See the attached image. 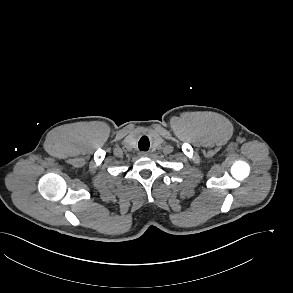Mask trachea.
<instances>
[{
	"instance_id": "obj_1",
	"label": "trachea",
	"mask_w": 293,
	"mask_h": 293,
	"mask_svg": "<svg viewBox=\"0 0 293 293\" xmlns=\"http://www.w3.org/2000/svg\"><path fill=\"white\" fill-rule=\"evenodd\" d=\"M138 147L140 150H144V151H147L149 149V140L146 136L140 139Z\"/></svg>"
}]
</instances>
